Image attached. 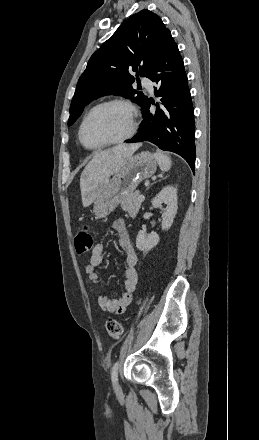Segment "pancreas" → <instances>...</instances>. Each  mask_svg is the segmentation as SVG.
<instances>
[{
	"mask_svg": "<svg viewBox=\"0 0 259 440\" xmlns=\"http://www.w3.org/2000/svg\"><path fill=\"white\" fill-rule=\"evenodd\" d=\"M139 192L135 191L124 197L121 201V208L128 212L131 217H135L138 213L141 201L138 200Z\"/></svg>",
	"mask_w": 259,
	"mask_h": 440,
	"instance_id": "1",
	"label": "pancreas"
}]
</instances>
